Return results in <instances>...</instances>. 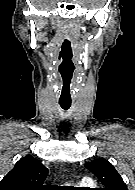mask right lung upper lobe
Segmentation results:
<instances>
[{"label": "right lung upper lobe", "instance_id": "obj_1", "mask_svg": "<svg viewBox=\"0 0 135 190\" xmlns=\"http://www.w3.org/2000/svg\"><path fill=\"white\" fill-rule=\"evenodd\" d=\"M48 169L37 159L27 155L0 181V190H47L43 185Z\"/></svg>", "mask_w": 135, "mask_h": 190}]
</instances>
